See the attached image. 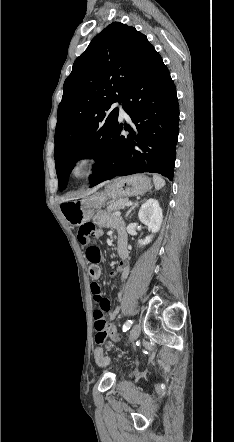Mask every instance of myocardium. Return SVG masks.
I'll return each mask as SVG.
<instances>
[{
    "mask_svg": "<svg viewBox=\"0 0 234 442\" xmlns=\"http://www.w3.org/2000/svg\"><path fill=\"white\" fill-rule=\"evenodd\" d=\"M101 162V154L96 149H85L79 152L71 160L69 165V176L76 181H85L89 179L96 171ZM82 166L84 171L78 175L75 173L76 168Z\"/></svg>",
    "mask_w": 234,
    "mask_h": 442,
    "instance_id": "obj_1",
    "label": "myocardium"
}]
</instances>
